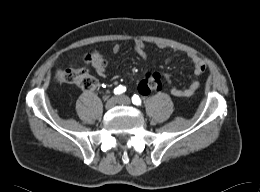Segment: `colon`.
<instances>
[{
    "instance_id": "obj_1",
    "label": "colon",
    "mask_w": 260,
    "mask_h": 192,
    "mask_svg": "<svg viewBox=\"0 0 260 192\" xmlns=\"http://www.w3.org/2000/svg\"><path fill=\"white\" fill-rule=\"evenodd\" d=\"M84 60L90 64L99 61L102 65H105L104 60L99 58V54L96 52L87 53ZM63 77L66 82L74 84L81 90H92L96 86V79L86 68H67ZM146 81L149 85V93L159 91L162 87L161 77L158 73L149 74L146 77Z\"/></svg>"
}]
</instances>
